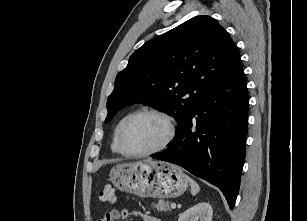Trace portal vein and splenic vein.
I'll return each instance as SVG.
<instances>
[{
  "label": "portal vein and splenic vein",
  "instance_id": "18ae733b",
  "mask_svg": "<svg viewBox=\"0 0 307 221\" xmlns=\"http://www.w3.org/2000/svg\"><path fill=\"white\" fill-rule=\"evenodd\" d=\"M170 206H171L172 209H175V208H176V204H175V203H171Z\"/></svg>",
  "mask_w": 307,
  "mask_h": 221
}]
</instances>
